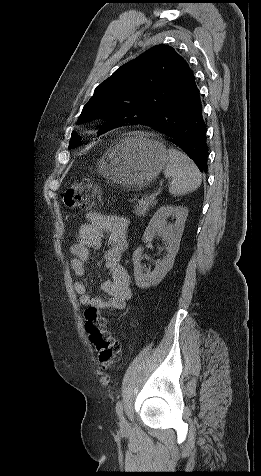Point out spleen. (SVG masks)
Returning a JSON list of instances; mask_svg holds the SVG:
<instances>
[{
	"label": "spleen",
	"instance_id": "spleen-1",
	"mask_svg": "<svg viewBox=\"0 0 261 476\" xmlns=\"http://www.w3.org/2000/svg\"><path fill=\"white\" fill-rule=\"evenodd\" d=\"M167 155L164 175L170 180L169 193L180 196L195 191L202 182V174L195 163L176 149H169Z\"/></svg>",
	"mask_w": 261,
	"mask_h": 476
}]
</instances>
